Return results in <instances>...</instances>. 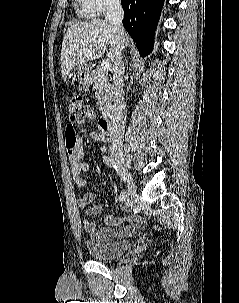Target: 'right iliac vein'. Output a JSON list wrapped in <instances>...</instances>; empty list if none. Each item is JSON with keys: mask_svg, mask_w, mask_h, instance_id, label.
Here are the masks:
<instances>
[{"mask_svg": "<svg viewBox=\"0 0 239 303\" xmlns=\"http://www.w3.org/2000/svg\"><path fill=\"white\" fill-rule=\"evenodd\" d=\"M114 159L121 166L122 171L125 172L124 178H122V179L126 182V185H127L126 207H130L131 205L134 204V202L137 198L136 187H135V184L133 182V179L131 177V174H130L129 170L124 165V160H123L122 156L115 155Z\"/></svg>", "mask_w": 239, "mask_h": 303, "instance_id": "1", "label": "right iliac vein"}]
</instances>
